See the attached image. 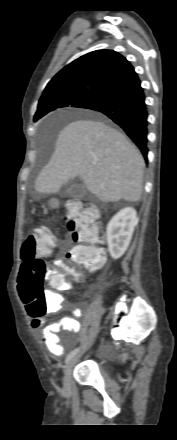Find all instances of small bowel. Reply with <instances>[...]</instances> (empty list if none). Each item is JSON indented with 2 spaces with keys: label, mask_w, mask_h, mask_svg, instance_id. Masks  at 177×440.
<instances>
[{
  "label": "small bowel",
  "mask_w": 177,
  "mask_h": 440,
  "mask_svg": "<svg viewBox=\"0 0 177 440\" xmlns=\"http://www.w3.org/2000/svg\"><path fill=\"white\" fill-rule=\"evenodd\" d=\"M70 288L68 284L63 290ZM47 309L49 312L59 311L63 307V298L56 292H48L47 294ZM82 315L81 308L71 309V315L64 316L58 321L47 323L46 318L39 317L32 319V327L35 329H41L43 341L48 350L54 355H62L65 351L64 346L60 343L58 332L61 330L68 331L74 334H78L81 329L78 318Z\"/></svg>",
  "instance_id": "small-bowel-1"
}]
</instances>
